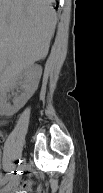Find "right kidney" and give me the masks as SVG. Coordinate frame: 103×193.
I'll return each instance as SVG.
<instances>
[{
  "label": "right kidney",
  "mask_w": 103,
  "mask_h": 193,
  "mask_svg": "<svg viewBox=\"0 0 103 193\" xmlns=\"http://www.w3.org/2000/svg\"><path fill=\"white\" fill-rule=\"evenodd\" d=\"M42 69L39 65L25 68L21 73L13 76L7 83L0 86V107L3 115L12 116L18 112L36 91ZM16 86H20L23 92L14 98L13 105L7 103V94Z\"/></svg>",
  "instance_id": "right-kidney-1"
}]
</instances>
